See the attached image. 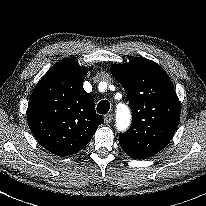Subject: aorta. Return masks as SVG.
<instances>
[{
	"mask_svg": "<svg viewBox=\"0 0 206 206\" xmlns=\"http://www.w3.org/2000/svg\"><path fill=\"white\" fill-rule=\"evenodd\" d=\"M131 116L128 108L121 105L117 109L116 126L120 131L125 130L130 124Z\"/></svg>",
	"mask_w": 206,
	"mask_h": 206,
	"instance_id": "aorta-1",
	"label": "aorta"
}]
</instances>
